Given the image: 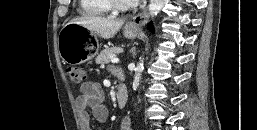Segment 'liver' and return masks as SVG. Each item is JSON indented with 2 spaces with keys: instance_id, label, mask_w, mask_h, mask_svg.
Segmentation results:
<instances>
[{
  "instance_id": "obj_1",
  "label": "liver",
  "mask_w": 257,
  "mask_h": 130,
  "mask_svg": "<svg viewBox=\"0 0 257 130\" xmlns=\"http://www.w3.org/2000/svg\"><path fill=\"white\" fill-rule=\"evenodd\" d=\"M70 23H76L95 32L104 39L112 38L124 24V20H114L112 18L85 16L74 18Z\"/></svg>"
}]
</instances>
